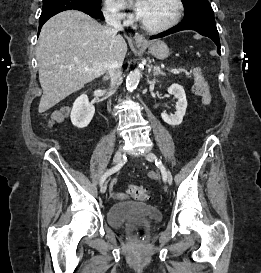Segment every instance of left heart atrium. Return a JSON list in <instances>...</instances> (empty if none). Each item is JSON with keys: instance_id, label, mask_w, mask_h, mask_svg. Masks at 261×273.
Here are the masks:
<instances>
[{"instance_id": "1", "label": "left heart atrium", "mask_w": 261, "mask_h": 273, "mask_svg": "<svg viewBox=\"0 0 261 273\" xmlns=\"http://www.w3.org/2000/svg\"><path fill=\"white\" fill-rule=\"evenodd\" d=\"M145 4H146V0H136L133 3V6L136 10V13L138 15V17L140 18L143 14L144 8H145Z\"/></svg>"}]
</instances>
